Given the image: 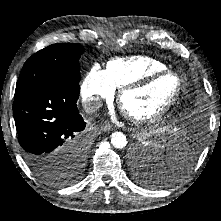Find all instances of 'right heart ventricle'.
I'll use <instances>...</instances> for the list:
<instances>
[{
  "label": "right heart ventricle",
  "instance_id": "e07e8e85",
  "mask_svg": "<svg viewBox=\"0 0 221 221\" xmlns=\"http://www.w3.org/2000/svg\"><path fill=\"white\" fill-rule=\"evenodd\" d=\"M166 69L167 66L163 62L149 56L138 55L111 59L106 65L105 73L115 88H121L148 73Z\"/></svg>",
  "mask_w": 221,
  "mask_h": 221
}]
</instances>
